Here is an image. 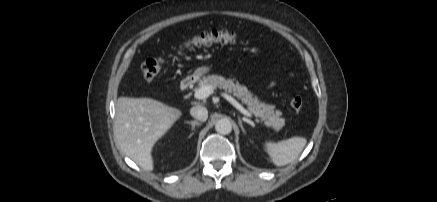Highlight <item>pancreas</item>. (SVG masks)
<instances>
[{"mask_svg": "<svg viewBox=\"0 0 437 202\" xmlns=\"http://www.w3.org/2000/svg\"><path fill=\"white\" fill-rule=\"evenodd\" d=\"M198 86L199 88L211 86L213 91L218 88L231 93L246 104L248 111L259 117L267 127L279 131L285 125V119L281 117L282 112L280 110H275L274 105L260 102L258 97L253 96L246 86L238 82L234 83L232 79H225L220 75H207L199 80Z\"/></svg>", "mask_w": 437, "mask_h": 202, "instance_id": "cf45deb5", "label": "pancreas"}]
</instances>
